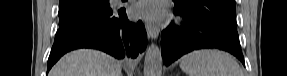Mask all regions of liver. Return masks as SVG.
Listing matches in <instances>:
<instances>
[{
    "instance_id": "obj_1",
    "label": "liver",
    "mask_w": 287,
    "mask_h": 76,
    "mask_svg": "<svg viewBox=\"0 0 287 76\" xmlns=\"http://www.w3.org/2000/svg\"><path fill=\"white\" fill-rule=\"evenodd\" d=\"M49 76H122L121 63L93 49H80L64 55Z\"/></svg>"
}]
</instances>
